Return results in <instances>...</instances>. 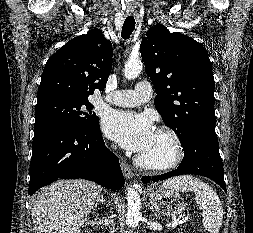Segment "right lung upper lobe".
I'll list each match as a JSON object with an SVG mask.
<instances>
[{"label": "right lung upper lobe", "instance_id": "1", "mask_svg": "<svg viewBox=\"0 0 253 233\" xmlns=\"http://www.w3.org/2000/svg\"><path fill=\"white\" fill-rule=\"evenodd\" d=\"M113 48L100 29H91L62 46L47 61L37 103L52 97L88 99L104 90L112 68Z\"/></svg>", "mask_w": 253, "mask_h": 233}]
</instances>
